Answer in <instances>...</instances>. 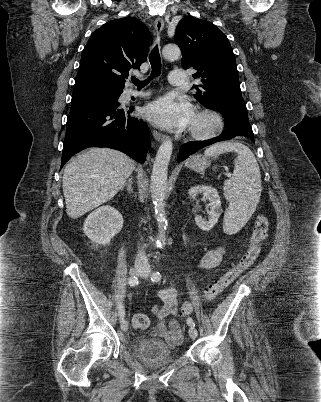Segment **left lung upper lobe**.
<instances>
[{"mask_svg": "<svg viewBox=\"0 0 321 402\" xmlns=\"http://www.w3.org/2000/svg\"><path fill=\"white\" fill-rule=\"evenodd\" d=\"M182 51V67L197 70L194 97L207 108L221 111L245 104L241 95L235 55L223 32L214 24L192 16L180 20L174 37Z\"/></svg>", "mask_w": 321, "mask_h": 402, "instance_id": "5c2ea615", "label": "left lung upper lobe"}]
</instances>
